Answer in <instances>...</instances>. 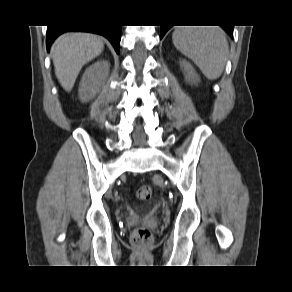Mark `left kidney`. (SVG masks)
<instances>
[{
  "label": "left kidney",
  "mask_w": 292,
  "mask_h": 292,
  "mask_svg": "<svg viewBox=\"0 0 292 292\" xmlns=\"http://www.w3.org/2000/svg\"><path fill=\"white\" fill-rule=\"evenodd\" d=\"M180 66L185 73L187 81H189L190 83H194V84L199 81V77H198L197 73L195 72L194 68L192 67V65L189 62L182 60V61H180Z\"/></svg>",
  "instance_id": "left-kidney-1"
}]
</instances>
